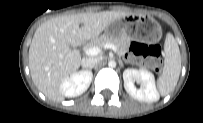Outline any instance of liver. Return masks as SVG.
<instances>
[{
  "label": "liver",
  "instance_id": "1",
  "mask_svg": "<svg viewBox=\"0 0 203 123\" xmlns=\"http://www.w3.org/2000/svg\"><path fill=\"white\" fill-rule=\"evenodd\" d=\"M127 15L125 11L80 13L57 16L41 24L29 48V68L37 89L52 102L62 101L60 85L79 69L82 61L75 48L97 38Z\"/></svg>",
  "mask_w": 203,
  "mask_h": 123
}]
</instances>
